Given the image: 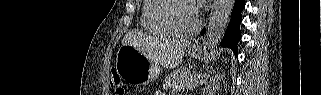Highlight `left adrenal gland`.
Listing matches in <instances>:
<instances>
[{"instance_id":"left-adrenal-gland-1","label":"left adrenal gland","mask_w":321,"mask_h":95,"mask_svg":"<svg viewBox=\"0 0 321 95\" xmlns=\"http://www.w3.org/2000/svg\"><path fill=\"white\" fill-rule=\"evenodd\" d=\"M213 87H215V89H218L219 88V81H216V83L213 82Z\"/></svg>"}]
</instances>
